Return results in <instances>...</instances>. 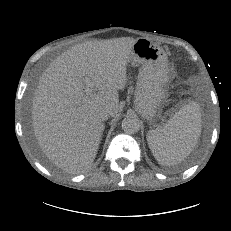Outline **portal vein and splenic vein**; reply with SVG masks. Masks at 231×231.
<instances>
[{"instance_id":"portal-vein-and-splenic-vein-1","label":"portal vein and splenic vein","mask_w":231,"mask_h":231,"mask_svg":"<svg viewBox=\"0 0 231 231\" xmlns=\"http://www.w3.org/2000/svg\"><path fill=\"white\" fill-rule=\"evenodd\" d=\"M87 85H88V87L86 88V94H90L92 92V88H91V85L88 81H87Z\"/></svg>"}]
</instances>
